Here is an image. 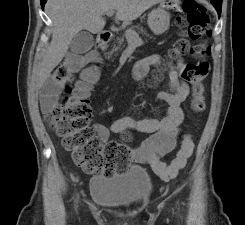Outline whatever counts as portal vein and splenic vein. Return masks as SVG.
I'll return each instance as SVG.
<instances>
[{
  "label": "portal vein and splenic vein",
  "mask_w": 245,
  "mask_h": 225,
  "mask_svg": "<svg viewBox=\"0 0 245 225\" xmlns=\"http://www.w3.org/2000/svg\"><path fill=\"white\" fill-rule=\"evenodd\" d=\"M114 14V11H108L106 13L107 16H112ZM125 36L127 38V40L130 42V43H133L135 45H142L143 44V41L142 39L139 37V35L132 29H127L125 31Z\"/></svg>",
  "instance_id": "1"
}]
</instances>
